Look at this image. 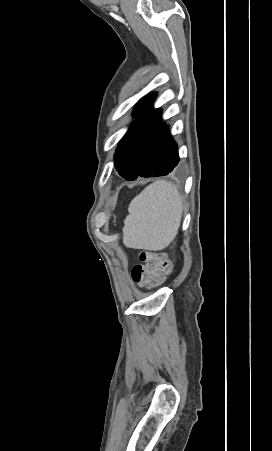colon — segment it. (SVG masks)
I'll use <instances>...</instances> for the list:
<instances>
[{
    "label": "colon",
    "mask_w": 272,
    "mask_h": 451,
    "mask_svg": "<svg viewBox=\"0 0 272 451\" xmlns=\"http://www.w3.org/2000/svg\"><path fill=\"white\" fill-rule=\"evenodd\" d=\"M136 255L141 261L132 268V278L137 286L154 287L171 273L172 266L165 254L139 249Z\"/></svg>",
    "instance_id": "obj_1"
}]
</instances>
